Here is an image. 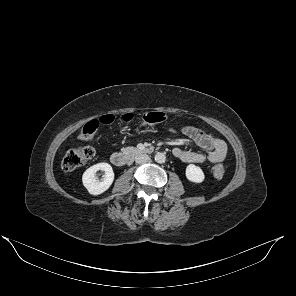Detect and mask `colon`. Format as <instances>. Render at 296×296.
Here are the masks:
<instances>
[{"label": "colon", "instance_id": "5ec220e1", "mask_svg": "<svg viewBox=\"0 0 296 296\" xmlns=\"http://www.w3.org/2000/svg\"><path fill=\"white\" fill-rule=\"evenodd\" d=\"M167 116L163 112L151 111L142 114L139 117L133 114H125L118 120L113 115H104L98 120L87 122L81 129L79 137L81 140H90L95 135L100 125L110 126L113 124H129L136 123L141 126L158 124L166 121ZM94 156V150L89 146H78L70 149L63 159V169L65 171H73L84 166ZM215 178H222L225 174V167L222 164H216L211 169Z\"/></svg>", "mask_w": 296, "mask_h": 296}]
</instances>
